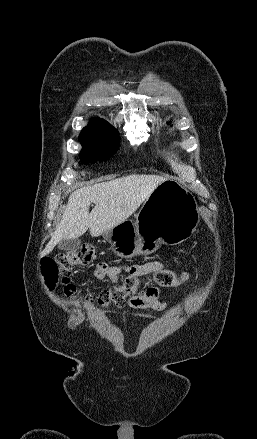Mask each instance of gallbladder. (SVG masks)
I'll use <instances>...</instances> for the list:
<instances>
[{"label": "gallbladder", "instance_id": "1", "mask_svg": "<svg viewBox=\"0 0 257 439\" xmlns=\"http://www.w3.org/2000/svg\"><path fill=\"white\" fill-rule=\"evenodd\" d=\"M81 241L79 239H62L58 248L63 251H73L79 248Z\"/></svg>", "mask_w": 257, "mask_h": 439}]
</instances>
